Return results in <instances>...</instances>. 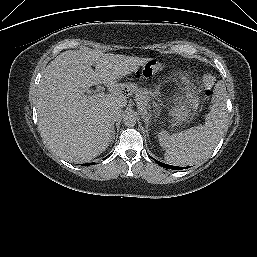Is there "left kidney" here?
<instances>
[{
  "label": "left kidney",
  "mask_w": 257,
  "mask_h": 257,
  "mask_svg": "<svg viewBox=\"0 0 257 257\" xmlns=\"http://www.w3.org/2000/svg\"><path fill=\"white\" fill-rule=\"evenodd\" d=\"M171 115L174 117L176 120H183L185 118V113L182 112L180 109H175L174 111L171 112Z\"/></svg>",
  "instance_id": "5707ae66"
}]
</instances>
